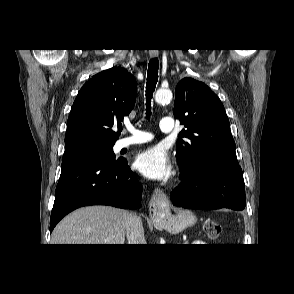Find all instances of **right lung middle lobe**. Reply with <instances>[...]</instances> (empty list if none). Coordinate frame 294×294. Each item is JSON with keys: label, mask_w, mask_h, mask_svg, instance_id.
I'll return each instance as SVG.
<instances>
[{"label": "right lung middle lobe", "mask_w": 294, "mask_h": 294, "mask_svg": "<svg viewBox=\"0 0 294 294\" xmlns=\"http://www.w3.org/2000/svg\"><path fill=\"white\" fill-rule=\"evenodd\" d=\"M115 142L84 139L65 144L62 161L82 156H101L110 161H115L113 146ZM120 160V159H118Z\"/></svg>", "instance_id": "right-lung-middle-lobe-1"}]
</instances>
